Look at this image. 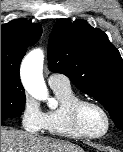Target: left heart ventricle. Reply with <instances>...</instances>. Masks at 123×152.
I'll use <instances>...</instances> for the list:
<instances>
[{
	"label": "left heart ventricle",
	"instance_id": "1",
	"mask_svg": "<svg viewBox=\"0 0 123 152\" xmlns=\"http://www.w3.org/2000/svg\"><path fill=\"white\" fill-rule=\"evenodd\" d=\"M81 124L91 134H100L106 128L103 114L93 106H85L81 111Z\"/></svg>",
	"mask_w": 123,
	"mask_h": 152
}]
</instances>
